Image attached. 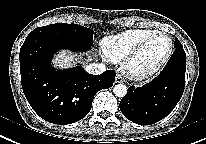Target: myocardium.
I'll return each instance as SVG.
<instances>
[{
	"label": "myocardium",
	"mask_w": 206,
	"mask_h": 144,
	"mask_svg": "<svg viewBox=\"0 0 206 144\" xmlns=\"http://www.w3.org/2000/svg\"><path fill=\"white\" fill-rule=\"evenodd\" d=\"M157 36H165L169 41V49L165 57L158 62L156 65L150 68H140L137 65L138 59L141 54L144 52L147 45ZM174 43L172 38L165 32L156 31L153 34L146 37L140 44H138L130 54L123 61V69L128 77L132 79H146L149 78L156 73H158L169 61L173 54Z\"/></svg>",
	"instance_id": "myocardium-1"
}]
</instances>
